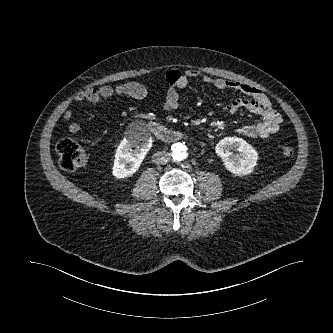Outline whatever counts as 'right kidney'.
Returning <instances> with one entry per match:
<instances>
[{
  "label": "right kidney",
  "instance_id": "1",
  "mask_svg": "<svg viewBox=\"0 0 333 333\" xmlns=\"http://www.w3.org/2000/svg\"><path fill=\"white\" fill-rule=\"evenodd\" d=\"M151 147L152 138L149 135L125 137L116 150L113 176L122 179L136 173Z\"/></svg>",
  "mask_w": 333,
  "mask_h": 333
}]
</instances>
